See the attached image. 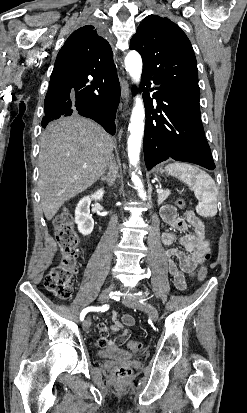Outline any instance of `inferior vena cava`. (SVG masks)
Listing matches in <instances>:
<instances>
[{
    "mask_svg": "<svg viewBox=\"0 0 247 413\" xmlns=\"http://www.w3.org/2000/svg\"><path fill=\"white\" fill-rule=\"evenodd\" d=\"M108 168H111V170H114V172H117L118 170V166H116V162H113V160H110Z\"/></svg>",
    "mask_w": 247,
    "mask_h": 413,
    "instance_id": "obj_1",
    "label": "inferior vena cava"
}]
</instances>
